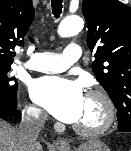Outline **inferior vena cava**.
Instances as JSON below:
<instances>
[{
    "label": "inferior vena cava",
    "mask_w": 131,
    "mask_h": 151,
    "mask_svg": "<svg viewBox=\"0 0 131 151\" xmlns=\"http://www.w3.org/2000/svg\"><path fill=\"white\" fill-rule=\"evenodd\" d=\"M45 120L46 116L43 115L40 110L28 108L22 116L21 124L17 130L22 141L29 145H34L45 124Z\"/></svg>",
    "instance_id": "obj_1"
}]
</instances>
